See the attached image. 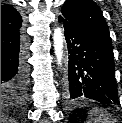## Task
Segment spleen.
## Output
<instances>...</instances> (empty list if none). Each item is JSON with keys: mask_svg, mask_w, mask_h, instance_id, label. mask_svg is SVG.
<instances>
[{"mask_svg": "<svg viewBox=\"0 0 122 123\" xmlns=\"http://www.w3.org/2000/svg\"><path fill=\"white\" fill-rule=\"evenodd\" d=\"M90 119L87 123H109L108 115L99 108H94L90 112Z\"/></svg>", "mask_w": 122, "mask_h": 123, "instance_id": "3e777b00", "label": "spleen"}]
</instances>
